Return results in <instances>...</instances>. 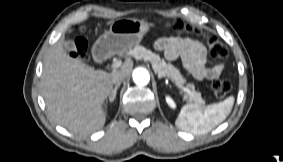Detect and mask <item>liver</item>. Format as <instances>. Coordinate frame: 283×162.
I'll list each match as a JSON object with an SVG mask.
<instances>
[{
    "instance_id": "6515ba94",
    "label": "liver",
    "mask_w": 283,
    "mask_h": 162,
    "mask_svg": "<svg viewBox=\"0 0 283 162\" xmlns=\"http://www.w3.org/2000/svg\"><path fill=\"white\" fill-rule=\"evenodd\" d=\"M112 22H108L110 24ZM71 32V30H70ZM133 63L129 60L118 70H95L67 55L63 40L57 41L45 55L41 91L50 118L76 134H91L103 128L115 73L128 77Z\"/></svg>"
}]
</instances>
